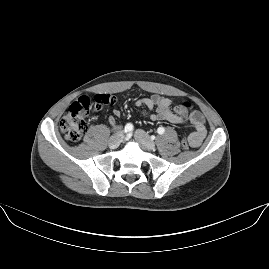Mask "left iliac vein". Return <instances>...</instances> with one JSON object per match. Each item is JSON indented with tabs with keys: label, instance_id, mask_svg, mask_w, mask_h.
Wrapping results in <instances>:
<instances>
[{
	"label": "left iliac vein",
	"instance_id": "left-iliac-vein-1",
	"mask_svg": "<svg viewBox=\"0 0 269 269\" xmlns=\"http://www.w3.org/2000/svg\"><path fill=\"white\" fill-rule=\"evenodd\" d=\"M135 140L146 150H154L156 143L141 129L135 131Z\"/></svg>",
	"mask_w": 269,
	"mask_h": 269
}]
</instances>
